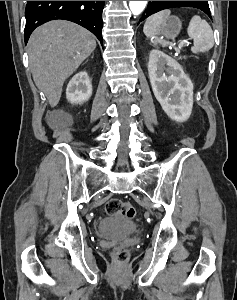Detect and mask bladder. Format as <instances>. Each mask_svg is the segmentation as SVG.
<instances>
[{"mask_svg": "<svg viewBox=\"0 0 237 300\" xmlns=\"http://www.w3.org/2000/svg\"><path fill=\"white\" fill-rule=\"evenodd\" d=\"M97 230L103 238H122L135 232L136 225L129 218L113 214L102 219Z\"/></svg>", "mask_w": 237, "mask_h": 300, "instance_id": "31cf9c89", "label": "bladder"}]
</instances>
